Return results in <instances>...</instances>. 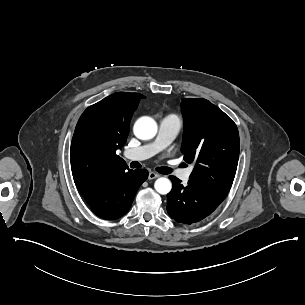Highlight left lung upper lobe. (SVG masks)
Instances as JSON below:
<instances>
[{
  "label": "left lung upper lobe",
  "instance_id": "left-lung-upper-lobe-1",
  "mask_svg": "<svg viewBox=\"0 0 305 305\" xmlns=\"http://www.w3.org/2000/svg\"><path fill=\"white\" fill-rule=\"evenodd\" d=\"M184 134L181 151L195 162L189 181L229 192L239 158L236 124L217 106L202 98L183 99Z\"/></svg>",
  "mask_w": 305,
  "mask_h": 305
}]
</instances>
